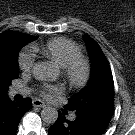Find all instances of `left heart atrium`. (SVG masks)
I'll list each match as a JSON object with an SVG mask.
<instances>
[{
    "mask_svg": "<svg viewBox=\"0 0 135 135\" xmlns=\"http://www.w3.org/2000/svg\"><path fill=\"white\" fill-rule=\"evenodd\" d=\"M61 91V86L53 84L44 85L41 89V93L45 98H50L54 94L61 93Z\"/></svg>",
    "mask_w": 135,
    "mask_h": 135,
    "instance_id": "1",
    "label": "left heart atrium"
}]
</instances>
